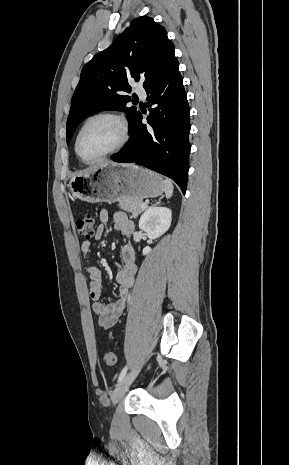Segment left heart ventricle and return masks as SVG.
<instances>
[{
    "instance_id": "1",
    "label": "left heart ventricle",
    "mask_w": 289,
    "mask_h": 465,
    "mask_svg": "<svg viewBox=\"0 0 289 465\" xmlns=\"http://www.w3.org/2000/svg\"><path fill=\"white\" fill-rule=\"evenodd\" d=\"M121 138L117 123L107 118L91 121L79 140V153L84 159H92L115 147Z\"/></svg>"
}]
</instances>
